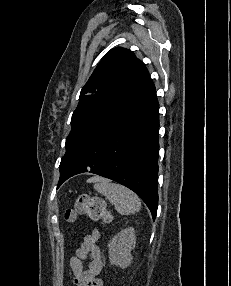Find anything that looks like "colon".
Returning <instances> with one entry per match:
<instances>
[{
  "label": "colon",
  "instance_id": "colon-1",
  "mask_svg": "<svg viewBox=\"0 0 231 286\" xmlns=\"http://www.w3.org/2000/svg\"><path fill=\"white\" fill-rule=\"evenodd\" d=\"M79 215L94 221L108 222L111 219L104 200L100 197L85 193L79 195L74 206L66 210L64 218L67 222L71 223L74 222Z\"/></svg>",
  "mask_w": 231,
  "mask_h": 286
}]
</instances>
